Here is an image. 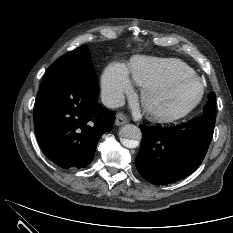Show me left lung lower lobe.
I'll return each mask as SVG.
<instances>
[{"label": "left lung lower lobe", "instance_id": "1", "mask_svg": "<svg viewBox=\"0 0 233 233\" xmlns=\"http://www.w3.org/2000/svg\"><path fill=\"white\" fill-rule=\"evenodd\" d=\"M215 119L196 117L175 127L142 130L136 167L148 182L164 185L193 173L203 161L213 137Z\"/></svg>", "mask_w": 233, "mask_h": 233}]
</instances>
